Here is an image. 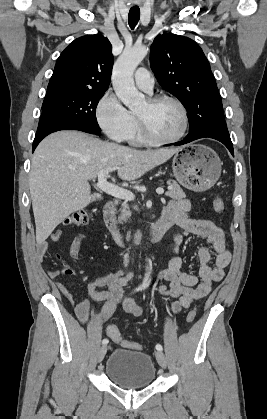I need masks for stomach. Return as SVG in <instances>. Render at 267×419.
<instances>
[{
  "instance_id": "stomach-1",
  "label": "stomach",
  "mask_w": 267,
  "mask_h": 419,
  "mask_svg": "<svg viewBox=\"0 0 267 419\" xmlns=\"http://www.w3.org/2000/svg\"><path fill=\"white\" fill-rule=\"evenodd\" d=\"M173 174L185 188L203 192L210 189L221 174V161L214 150L202 144L180 147L172 160Z\"/></svg>"
}]
</instances>
